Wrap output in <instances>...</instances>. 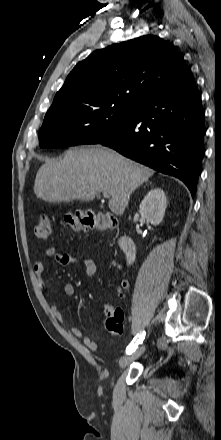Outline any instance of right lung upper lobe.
<instances>
[{"instance_id":"right-lung-upper-lobe-1","label":"right lung upper lobe","mask_w":221,"mask_h":440,"mask_svg":"<svg viewBox=\"0 0 221 440\" xmlns=\"http://www.w3.org/2000/svg\"><path fill=\"white\" fill-rule=\"evenodd\" d=\"M191 81L175 47L157 36L145 35L96 50L79 62L49 110L75 104L117 103L135 107Z\"/></svg>"}]
</instances>
